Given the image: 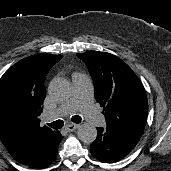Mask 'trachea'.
I'll use <instances>...</instances> for the list:
<instances>
[{
    "instance_id": "trachea-1",
    "label": "trachea",
    "mask_w": 171,
    "mask_h": 171,
    "mask_svg": "<svg viewBox=\"0 0 171 171\" xmlns=\"http://www.w3.org/2000/svg\"><path fill=\"white\" fill-rule=\"evenodd\" d=\"M71 120L74 123H80L82 121V118L80 116L76 115V116H73L71 118ZM47 125L53 129H60L64 126V121L63 120H57V121H54L52 123H47Z\"/></svg>"
}]
</instances>
